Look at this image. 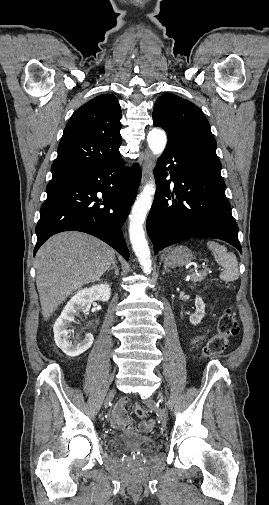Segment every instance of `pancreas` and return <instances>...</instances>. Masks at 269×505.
Instances as JSON below:
<instances>
[{
	"mask_svg": "<svg viewBox=\"0 0 269 505\" xmlns=\"http://www.w3.org/2000/svg\"><path fill=\"white\" fill-rule=\"evenodd\" d=\"M207 275V271L204 270V271H195V272H192L191 273V280L196 283V282H201L202 280H204V278L206 277Z\"/></svg>",
	"mask_w": 269,
	"mask_h": 505,
	"instance_id": "1",
	"label": "pancreas"
}]
</instances>
